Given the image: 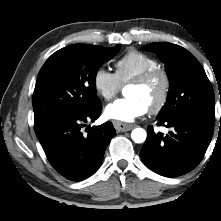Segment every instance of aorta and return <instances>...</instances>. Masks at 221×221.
Wrapping results in <instances>:
<instances>
[{"label":"aorta","instance_id":"obj_1","mask_svg":"<svg viewBox=\"0 0 221 221\" xmlns=\"http://www.w3.org/2000/svg\"><path fill=\"white\" fill-rule=\"evenodd\" d=\"M146 137L147 133L143 128H135L131 133V138L135 143H143Z\"/></svg>","mask_w":221,"mask_h":221}]
</instances>
